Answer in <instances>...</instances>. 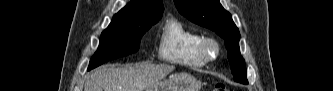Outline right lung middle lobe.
I'll use <instances>...</instances> for the list:
<instances>
[{
	"label": "right lung middle lobe",
	"instance_id": "dd1d6c3e",
	"mask_svg": "<svg viewBox=\"0 0 333 91\" xmlns=\"http://www.w3.org/2000/svg\"><path fill=\"white\" fill-rule=\"evenodd\" d=\"M159 19L151 18L125 23H110L101 34L99 47L90 61L88 70L109 60L137 52L141 37Z\"/></svg>",
	"mask_w": 333,
	"mask_h": 91
}]
</instances>
